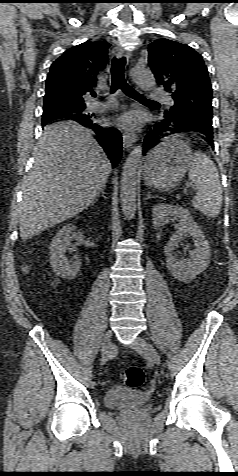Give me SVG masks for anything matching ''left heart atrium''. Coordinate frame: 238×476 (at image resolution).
<instances>
[{
  "label": "left heart atrium",
  "instance_id": "obj_1",
  "mask_svg": "<svg viewBox=\"0 0 238 476\" xmlns=\"http://www.w3.org/2000/svg\"><path fill=\"white\" fill-rule=\"evenodd\" d=\"M142 123V117L137 112H128L118 118V124L127 129H137Z\"/></svg>",
  "mask_w": 238,
  "mask_h": 476
}]
</instances>
